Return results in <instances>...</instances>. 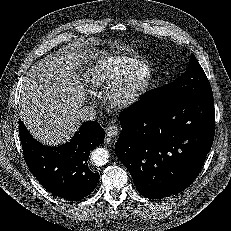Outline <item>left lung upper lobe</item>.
I'll use <instances>...</instances> for the list:
<instances>
[{
    "label": "left lung upper lobe",
    "instance_id": "5c2ea615",
    "mask_svg": "<svg viewBox=\"0 0 231 231\" xmlns=\"http://www.w3.org/2000/svg\"><path fill=\"white\" fill-rule=\"evenodd\" d=\"M213 95L210 83L202 67L191 54L186 72L172 83L148 91L143 95L144 102L152 106H164L172 102L196 96Z\"/></svg>",
    "mask_w": 231,
    "mask_h": 231
}]
</instances>
